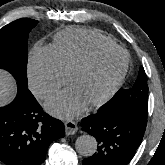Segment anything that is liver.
Listing matches in <instances>:
<instances>
[{
	"instance_id": "liver-1",
	"label": "liver",
	"mask_w": 165,
	"mask_h": 165,
	"mask_svg": "<svg viewBox=\"0 0 165 165\" xmlns=\"http://www.w3.org/2000/svg\"><path fill=\"white\" fill-rule=\"evenodd\" d=\"M16 86L11 75L0 69V106L8 104L15 96Z\"/></svg>"
}]
</instances>
